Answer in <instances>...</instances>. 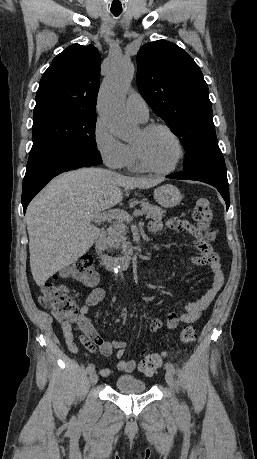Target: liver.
<instances>
[{
  "instance_id": "1",
  "label": "liver",
  "mask_w": 257,
  "mask_h": 459,
  "mask_svg": "<svg viewBox=\"0 0 257 459\" xmlns=\"http://www.w3.org/2000/svg\"><path fill=\"white\" fill-rule=\"evenodd\" d=\"M161 179L124 176L102 168H81L56 177L26 211L30 267L38 286L77 261L93 245L99 229L91 222L117 205L124 188H151Z\"/></svg>"
}]
</instances>
